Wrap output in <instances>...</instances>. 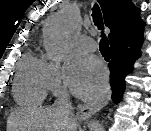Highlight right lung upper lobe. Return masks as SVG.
Returning a JSON list of instances; mask_svg holds the SVG:
<instances>
[{
	"mask_svg": "<svg viewBox=\"0 0 151 131\" xmlns=\"http://www.w3.org/2000/svg\"><path fill=\"white\" fill-rule=\"evenodd\" d=\"M107 27L110 46L133 44L140 47L143 21L131 0H98Z\"/></svg>",
	"mask_w": 151,
	"mask_h": 131,
	"instance_id": "1",
	"label": "right lung upper lobe"
}]
</instances>
